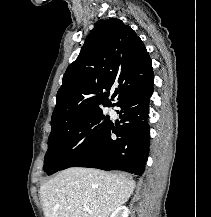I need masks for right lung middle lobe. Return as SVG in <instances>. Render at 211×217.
<instances>
[{
	"label": "right lung middle lobe",
	"mask_w": 211,
	"mask_h": 217,
	"mask_svg": "<svg viewBox=\"0 0 211 217\" xmlns=\"http://www.w3.org/2000/svg\"><path fill=\"white\" fill-rule=\"evenodd\" d=\"M110 124L100 109L52 128L44 171L51 175L79 162L102 141Z\"/></svg>",
	"instance_id": "1"
}]
</instances>
